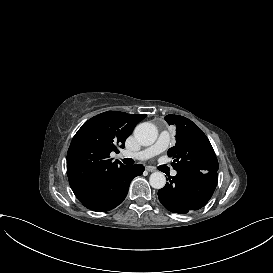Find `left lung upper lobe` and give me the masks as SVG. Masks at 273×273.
<instances>
[{
    "mask_svg": "<svg viewBox=\"0 0 273 273\" xmlns=\"http://www.w3.org/2000/svg\"><path fill=\"white\" fill-rule=\"evenodd\" d=\"M169 125L176 126V145L168 150L176 171L217 172L218 161L207 136L194 122L180 115H167Z\"/></svg>",
    "mask_w": 273,
    "mask_h": 273,
    "instance_id": "1",
    "label": "left lung upper lobe"
}]
</instances>
